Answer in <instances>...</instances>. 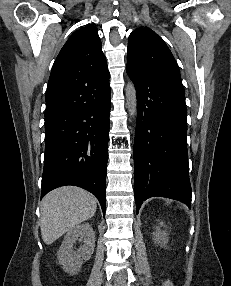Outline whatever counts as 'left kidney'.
<instances>
[{"label":"left kidney","mask_w":231,"mask_h":286,"mask_svg":"<svg viewBox=\"0 0 231 286\" xmlns=\"http://www.w3.org/2000/svg\"><path fill=\"white\" fill-rule=\"evenodd\" d=\"M164 225L163 222H160V226L156 227V232L154 233V241L157 244H166L168 241L167 238V233H165L164 231H161L160 227H162Z\"/></svg>","instance_id":"obj_1"}]
</instances>
